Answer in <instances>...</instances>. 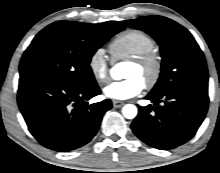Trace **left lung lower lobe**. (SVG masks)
Here are the masks:
<instances>
[{"mask_svg": "<svg viewBox=\"0 0 220 173\" xmlns=\"http://www.w3.org/2000/svg\"><path fill=\"white\" fill-rule=\"evenodd\" d=\"M145 99L155 106L139 107L131 129L141 141L160 150L189 141L204 120L209 103L208 89L187 87L164 94L149 93Z\"/></svg>", "mask_w": 220, "mask_h": 173, "instance_id": "0a47b994", "label": "left lung lower lobe"}]
</instances>
